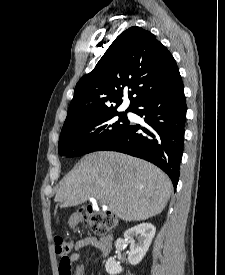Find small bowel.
Listing matches in <instances>:
<instances>
[{"instance_id": "small-bowel-1", "label": "small bowel", "mask_w": 225, "mask_h": 275, "mask_svg": "<svg viewBox=\"0 0 225 275\" xmlns=\"http://www.w3.org/2000/svg\"><path fill=\"white\" fill-rule=\"evenodd\" d=\"M88 247H92L101 252V242L96 237L87 236L82 239H79L75 243V251L69 256V260L75 266L76 275H81V264L80 260L82 257V251Z\"/></svg>"}]
</instances>
